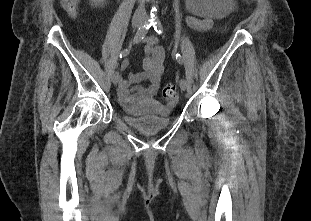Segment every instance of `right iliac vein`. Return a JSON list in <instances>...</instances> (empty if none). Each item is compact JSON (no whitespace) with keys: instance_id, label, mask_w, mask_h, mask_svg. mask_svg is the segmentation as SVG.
<instances>
[{"instance_id":"1","label":"right iliac vein","mask_w":311,"mask_h":221,"mask_svg":"<svg viewBox=\"0 0 311 221\" xmlns=\"http://www.w3.org/2000/svg\"><path fill=\"white\" fill-rule=\"evenodd\" d=\"M141 26H142V21H140V20H135V21L132 22V27L134 29H137V28H139ZM112 81H113L114 85H117L119 83L120 75H119V73L117 71L114 73V75L112 77Z\"/></svg>"}]
</instances>
